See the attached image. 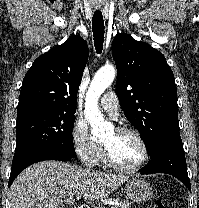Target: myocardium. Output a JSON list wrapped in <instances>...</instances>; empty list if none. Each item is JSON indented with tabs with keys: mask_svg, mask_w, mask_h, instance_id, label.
I'll use <instances>...</instances> for the list:
<instances>
[{
	"mask_svg": "<svg viewBox=\"0 0 199 208\" xmlns=\"http://www.w3.org/2000/svg\"><path fill=\"white\" fill-rule=\"evenodd\" d=\"M116 133L118 134H126V135H132L134 136L138 142L141 144L143 149V157L142 159L134 166H124L118 162H116L113 157L111 156L110 152L106 148L105 145H102L103 147V161L104 163L109 166L110 168H113L115 170L126 172V173H133L138 170H140L142 167H144L150 158L149 153V147L147 142L145 141L144 137L135 129L128 128V127H120L115 129Z\"/></svg>",
	"mask_w": 199,
	"mask_h": 208,
	"instance_id": "myocardium-1",
	"label": "myocardium"
}]
</instances>
